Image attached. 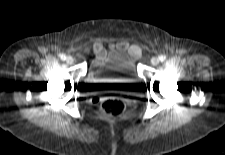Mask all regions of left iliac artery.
I'll use <instances>...</instances> for the list:
<instances>
[{
  "label": "left iliac artery",
  "instance_id": "obj_1",
  "mask_svg": "<svg viewBox=\"0 0 225 155\" xmlns=\"http://www.w3.org/2000/svg\"><path fill=\"white\" fill-rule=\"evenodd\" d=\"M165 59H166V57L164 55L159 56L160 61H164Z\"/></svg>",
  "mask_w": 225,
  "mask_h": 155
}]
</instances>
